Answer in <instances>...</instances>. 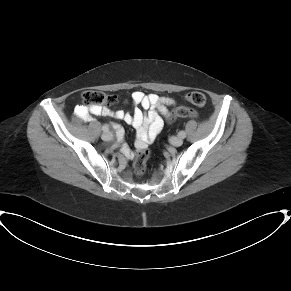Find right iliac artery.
<instances>
[{
	"label": "right iliac artery",
	"instance_id": "1",
	"mask_svg": "<svg viewBox=\"0 0 291 291\" xmlns=\"http://www.w3.org/2000/svg\"><path fill=\"white\" fill-rule=\"evenodd\" d=\"M102 130H103L104 132H108V131H109V128H108L107 125H103Z\"/></svg>",
	"mask_w": 291,
	"mask_h": 291
}]
</instances>
